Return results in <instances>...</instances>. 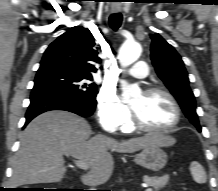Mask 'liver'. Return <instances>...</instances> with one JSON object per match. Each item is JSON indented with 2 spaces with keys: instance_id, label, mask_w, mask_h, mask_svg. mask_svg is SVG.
Segmentation results:
<instances>
[{
  "instance_id": "1",
  "label": "liver",
  "mask_w": 218,
  "mask_h": 191,
  "mask_svg": "<svg viewBox=\"0 0 218 191\" xmlns=\"http://www.w3.org/2000/svg\"><path fill=\"white\" fill-rule=\"evenodd\" d=\"M88 122L67 111H49L32 120L23 131L13 161L12 186L60 182L65 174L63 155L88 163L90 171L81 176L84 183L93 179L105 183L112 175L114 161L109 150L132 153L148 146H172L176 140L164 134L117 141L96 135L89 139Z\"/></svg>"
}]
</instances>
